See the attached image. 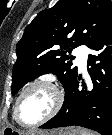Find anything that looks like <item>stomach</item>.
I'll return each instance as SVG.
<instances>
[{"mask_svg": "<svg viewBox=\"0 0 112 135\" xmlns=\"http://www.w3.org/2000/svg\"><path fill=\"white\" fill-rule=\"evenodd\" d=\"M80 130L68 128L64 130H60L58 132H46V131H39V132H30L27 134H22L21 132L14 130L13 128H4L1 135H79Z\"/></svg>", "mask_w": 112, "mask_h": 135, "instance_id": "stomach-1", "label": "stomach"}]
</instances>
